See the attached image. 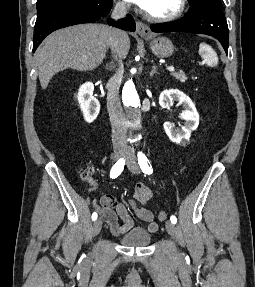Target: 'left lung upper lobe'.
Wrapping results in <instances>:
<instances>
[{"instance_id":"1","label":"left lung upper lobe","mask_w":255,"mask_h":287,"mask_svg":"<svg viewBox=\"0 0 255 287\" xmlns=\"http://www.w3.org/2000/svg\"><path fill=\"white\" fill-rule=\"evenodd\" d=\"M188 1L190 6L195 5L197 3H209L218 7L221 6V0H188Z\"/></svg>"}]
</instances>
